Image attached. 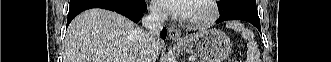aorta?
Instances as JSON below:
<instances>
[{
  "mask_svg": "<svg viewBox=\"0 0 331 62\" xmlns=\"http://www.w3.org/2000/svg\"><path fill=\"white\" fill-rule=\"evenodd\" d=\"M167 62H176V58L173 55L172 50H169L168 52Z\"/></svg>",
  "mask_w": 331,
  "mask_h": 62,
  "instance_id": "aorta-1",
  "label": "aorta"
}]
</instances>
